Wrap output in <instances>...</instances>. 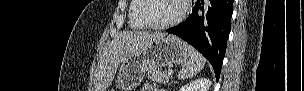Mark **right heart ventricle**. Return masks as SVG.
Segmentation results:
<instances>
[{
    "label": "right heart ventricle",
    "mask_w": 304,
    "mask_h": 91,
    "mask_svg": "<svg viewBox=\"0 0 304 91\" xmlns=\"http://www.w3.org/2000/svg\"><path fill=\"white\" fill-rule=\"evenodd\" d=\"M140 7L139 0H132L128 9L129 25L132 29L143 30L146 26L140 21L138 10Z\"/></svg>",
    "instance_id": "obj_1"
}]
</instances>
